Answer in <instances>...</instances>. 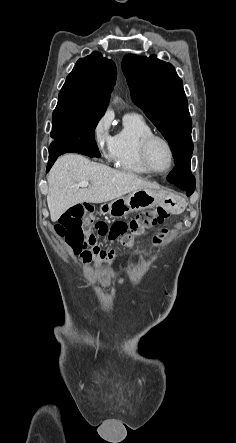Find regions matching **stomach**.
Masks as SVG:
<instances>
[{
  "mask_svg": "<svg viewBox=\"0 0 236 443\" xmlns=\"http://www.w3.org/2000/svg\"><path fill=\"white\" fill-rule=\"evenodd\" d=\"M160 205L173 214L181 213L186 204L180 196L161 189H142L129 193L110 203L100 206V212L111 218H122L137 212Z\"/></svg>",
  "mask_w": 236,
  "mask_h": 443,
  "instance_id": "1",
  "label": "stomach"
}]
</instances>
